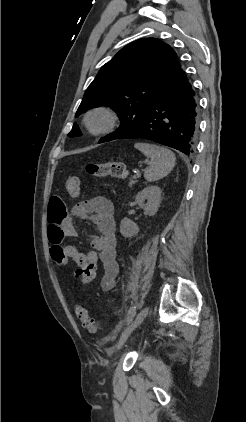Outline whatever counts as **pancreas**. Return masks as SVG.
<instances>
[{
    "label": "pancreas",
    "mask_w": 246,
    "mask_h": 422,
    "mask_svg": "<svg viewBox=\"0 0 246 422\" xmlns=\"http://www.w3.org/2000/svg\"><path fill=\"white\" fill-rule=\"evenodd\" d=\"M135 179L136 178H134V176L130 179V183H129L130 186H132L133 184L137 182Z\"/></svg>",
    "instance_id": "1"
}]
</instances>
